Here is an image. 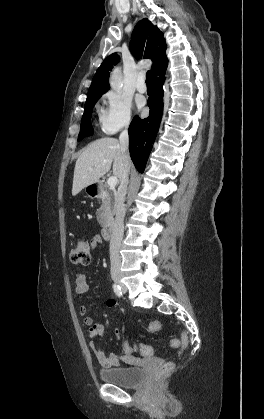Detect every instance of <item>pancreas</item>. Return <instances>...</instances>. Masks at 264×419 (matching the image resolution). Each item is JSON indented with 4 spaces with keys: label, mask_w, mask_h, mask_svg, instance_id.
<instances>
[{
    "label": "pancreas",
    "mask_w": 264,
    "mask_h": 419,
    "mask_svg": "<svg viewBox=\"0 0 264 419\" xmlns=\"http://www.w3.org/2000/svg\"><path fill=\"white\" fill-rule=\"evenodd\" d=\"M101 207L97 211V219L101 225H107L113 218L114 214V201L112 195L107 189H104L101 193Z\"/></svg>",
    "instance_id": "obj_1"
}]
</instances>
